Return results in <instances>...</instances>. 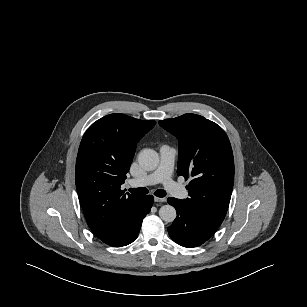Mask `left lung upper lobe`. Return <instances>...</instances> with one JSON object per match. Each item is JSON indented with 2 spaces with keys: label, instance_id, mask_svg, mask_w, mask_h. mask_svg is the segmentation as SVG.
<instances>
[{
  "label": "left lung upper lobe",
  "instance_id": "1",
  "mask_svg": "<svg viewBox=\"0 0 307 307\" xmlns=\"http://www.w3.org/2000/svg\"><path fill=\"white\" fill-rule=\"evenodd\" d=\"M177 137V174L192 177L189 198L181 200L200 222L217 230L228 210L234 182V158L229 139L216 123L196 114L160 120Z\"/></svg>",
  "mask_w": 307,
  "mask_h": 307
}]
</instances>
